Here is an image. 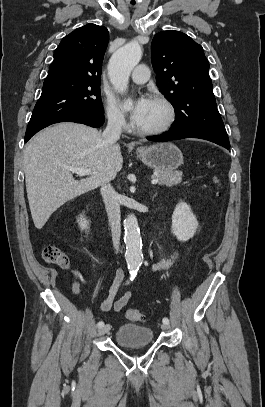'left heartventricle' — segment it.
I'll list each match as a JSON object with an SVG mask.
<instances>
[{
    "label": "left heart ventricle",
    "mask_w": 265,
    "mask_h": 407,
    "mask_svg": "<svg viewBox=\"0 0 265 407\" xmlns=\"http://www.w3.org/2000/svg\"><path fill=\"white\" fill-rule=\"evenodd\" d=\"M166 118V110L160 103L151 100L148 110L136 126L141 129H153L160 126Z\"/></svg>",
    "instance_id": "left-heart-ventricle-1"
}]
</instances>
